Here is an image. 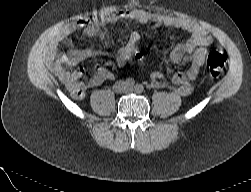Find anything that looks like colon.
<instances>
[{
  "mask_svg": "<svg viewBox=\"0 0 251 192\" xmlns=\"http://www.w3.org/2000/svg\"><path fill=\"white\" fill-rule=\"evenodd\" d=\"M227 67V58L222 54L211 51L207 57V68L213 77L221 76Z\"/></svg>",
  "mask_w": 251,
  "mask_h": 192,
  "instance_id": "5ec220e1",
  "label": "colon"
}]
</instances>
